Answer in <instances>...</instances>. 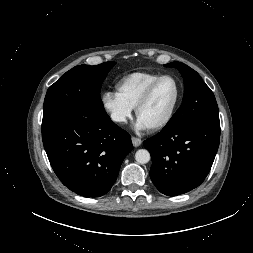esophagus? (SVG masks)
<instances>
[{"label": "esophagus", "mask_w": 253, "mask_h": 253, "mask_svg": "<svg viewBox=\"0 0 253 253\" xmlns=\"http://www.w3.org/2000/svg\"><path fill=\"white\" fill-rule=\"evenodd\" d=\"M131 140L134 147H138L142 144V140L137 137H132Z\"/></svg>", "instance_id": "obj_1"}]
</instances>
